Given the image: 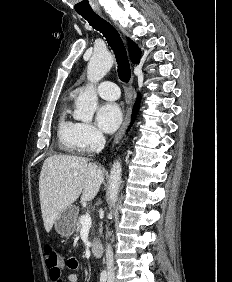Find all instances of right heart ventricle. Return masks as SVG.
Listing matches in <instances>:
<instances>
[{
	"instance_id": "1",
	"label": "right heart ventricle",
	"mask_w": 232,
	"mask_h": 282,
	"mask_svg": "<svg viewBox=\"0 0 232 282\" xmlns=\"http://www.w3.org/2000/svg\"><path fill=\"white\" fill-rule=\"evenodd\" d=\"M77 126L70 116V105L64 102L60 109L58 124H57V138L59 149L67 152L74 153L79 150L77 142Z\"/></svg>"
}]
</instances>
